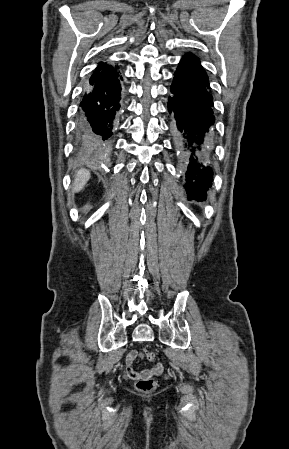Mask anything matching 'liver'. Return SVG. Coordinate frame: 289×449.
Masks as SVG:
<instances>
[{"label": "liver", "instance_id": "obj_1", "mask_svg": "<svg viewBox=\"0 0 289 449\" xmlns=\"http://www.w3.org/2000/svg\"><path fill=\"white\" fill-rule=\"evenodd\" d=\"M89 179H90L89 171H87L85 169L79 170L75 176V181L73 184V192L81 191Z\"/></svg>", "mask_w": 289, "mask_h": 449}]
</instances>
